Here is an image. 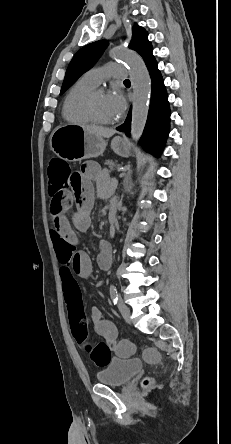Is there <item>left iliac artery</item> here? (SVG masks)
<instances>
[{
	"label": "left iliac artery",
	"instance_id": "1",
	"mask_svg": "<svg viewBox=\"0 0 231 444\" xmlns=\"http://www.w3.org/2000/svg\"><path fill=\"white\" fill-rule=\"evenodd\" d=\"M110 296L114 304H117L118 294L115 285H110Z\"/></svg>",
	"mask_w": 231,
	"mask_h": 444
}]
</instances>
